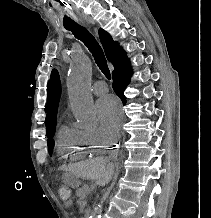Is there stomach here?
Returning <instances> with one entry per match:
<instances>
[{"instance_id": "1", "label": "stomach", "mask_w": 211, "mask_h": 218, "mask_svg": "<svg viewBox=\"0 0 211 218\" xmlns=\"http://www.w3.org/2000/svg\"><path fill=\"white\" fill-rule=\"evenodd\" d=\"M65 183L72 188H77L80 186V180L75 174H67L65 176Z\"/></svg>"}]
</instances>
